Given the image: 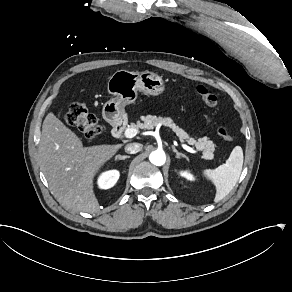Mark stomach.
Segmentation results:
<instances>
[{
	"instance_id": "0dacf381",
	"label": "stomach",
	"mask_w": 292,
	"mask_h": 292,
	"mask_svg": "<svg viewBox=\"0 0 292 292\" xmlns=\"http://www.w3.org/2000/svg\"><path fill=\"white\" fill-rule=\"evenodd\" d=\"M138 91L157 96L164 91V82L159 75L150 71H116L108 81V92L115 98L104 104L102 110L104 120L111 125L120 123L127 117L125 106L137 99Z\"/></svg>"
}]
</instances>
